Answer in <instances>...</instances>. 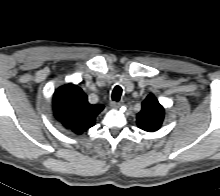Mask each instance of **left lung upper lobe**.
<instances>
[{
	"instance_id": "1",
	"label": "left lung upper lobe",
	"mask_w": 220,
	"mask_h": 196,
	"mask_svg": "<svg viewBox=\"0 0 220 196\" xmlns=\"http://www.w3.org/2000/svg\"><path fill=\"white\" fill-rule=\"evenodd\" d=\"M164 119V108L153 94L142 102V109L137 115V126L147 132L157 131Z\"/></svg>"
}]
</instances>
